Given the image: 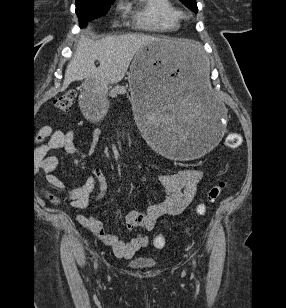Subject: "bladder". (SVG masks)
<instances>
[{"label": "bladder", "instance_id": "bladder-1", "mask_svg": "<svg viewBox=\"0 0 286 308\" xmlns=\"http://www.w3.org/2000/svg\"><path fill=\"white\" fill-rule=\"evenodd\" d=\"M128 263L136 269H148L157 264L154 258L139 256L128 261Z\"/></svg>", "mask_w": 286, "mask_h": 308}]
</instances>
